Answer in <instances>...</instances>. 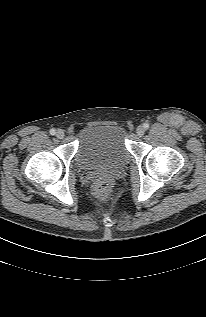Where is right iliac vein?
Returning <instances> with one entry per match:
<instances>
[{"label":"right iliac vein","mask_w":206,"mask_h":317,"mask_svg":"<svg viewBox=\"0 0 206 317\" xmlns=\"http://www.w3.org/2000/svg\"><path fill=\"white\" fill-rule=\"evenodd\" d=\"M56 136H57V138L62 139L65 136V133L62 129H59L56 132Z\"/></svg>","instance_id":"right-iliac-vein-1"}]
</instances>
